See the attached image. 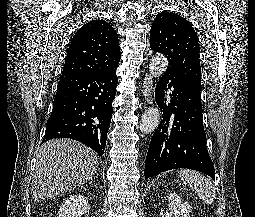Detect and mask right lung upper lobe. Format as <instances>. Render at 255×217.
Wrapping results in <instances>:
<instances>
[{
    "label": "right lung upper lobe",
    "mask_w": 255,
    "mask_h": 217,
    "mask_svg": "<svg viewBox=\"0 0 255 217\" xmlns=\"http://www.w3.org/2000/svg\"><path fill=\"white\" fill-rule=\"evenodd\" d=\"M119 61L116 31L104 20H92L73 36L62 74L108 73Z\"/></svg>",
    "instance_id": "right-lung-upper-lobe-1"
}]
</instances>
